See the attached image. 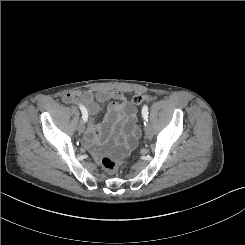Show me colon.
Listing matches in <instances>:
<instances>
[{
    "label": "colon",
    "mask_w": 245,
    "mask_h": 245,
    "mask_svg": "<svg viewBox=\"0 0 245 245\" xmlns=\"http://www.w3.org/2000/svg\"><path fill=\"white\" fill-rule=\"evenodd\" d=\"M151 99H152V96H150V95L137 94L131 98V101L134 105H140V104H142L146 101H149ZM93 158L97 164H99L103 169H105L106 171H108L110 173L116 172L118 167L121 164L119 161H117L111 157L105 156V155L98 153V152L93 153Z\"/></svg>",
    "instance_id": "colon-1"
}]
</instances>
